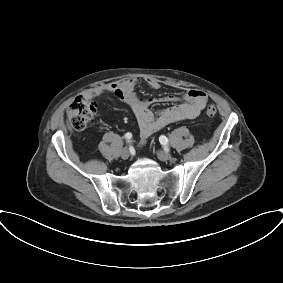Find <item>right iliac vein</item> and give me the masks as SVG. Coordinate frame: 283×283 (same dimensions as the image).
<instances>
[{"label": "right iliac vein", "instance_id": "63e3f726", "mask_svg": "<svg viewBox=\"0 0 283 283\" xmlns=\"http://www.w3.org/2000/svg\"><path fill=\"white\" fill-rule=\"evenodd\" d=\"M129 156H130L129 150H128L127 148L122 149V151H121V157H122L123 159H128Z\"/></svg>", "mask_w": 283, "mask_h": 283}]
</instances>
